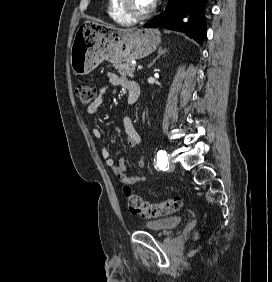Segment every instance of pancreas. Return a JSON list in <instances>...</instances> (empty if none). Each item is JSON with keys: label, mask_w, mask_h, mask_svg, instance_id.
<instances>
[{"label": "pancreas", "mask_w": 272, "mask_h": 282, "mask_svg": "<svg viewBox=\"0 0 272 282\" xmlns=\"http://www.w3.org/2000/svg\"><path fill=\"white\" fill-rule=\"evenodd\" d=\"M115 68L118 70V73L122 76L134 77V73L136 71L135 65L130 62L116 64Z\"/></svg>", "instance_id": "1"}]
</instances>
